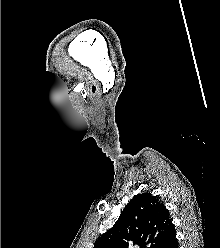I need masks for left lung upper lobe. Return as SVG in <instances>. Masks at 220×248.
Instances as JSON below:
<instances>
[{
    "mask_svg": "<svg viewBox=\"0 0 220 248\" xmlns=\"http://www.w3.org/2000/svg\"><path fill=\"white\" fill-rule=\"evenodd\" d=\"M172 226L168 210L156 196L138 194L94 248H129L136 244L141 248H158Z\"/></svg>",
    "mask_w": 220,
    "mask_h": 248,
    "instance_id": "1",
    "label": "left lung upper lobe"
}]
</instances>
